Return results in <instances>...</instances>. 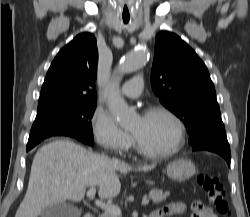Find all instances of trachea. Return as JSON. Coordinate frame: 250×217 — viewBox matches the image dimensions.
<instances>
[{
    "instance_id": "trachea-1",
    "label": "trachea",
    "mask_w": 250,
    "mask_h": 217,
    "mask_svg": "<svg viewBox=\"0 0 250 217\" xmlns=\"http://www.w3.org/2000/svg\"><path fill=\"white\" fill-rule=\"evenodd\" d=\"M128 19H123V22L126 24V23H128Z\"/></svg>"
}]
</instances>
